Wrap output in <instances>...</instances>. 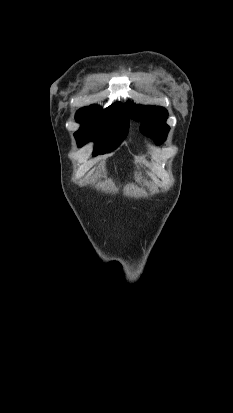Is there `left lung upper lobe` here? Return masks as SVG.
Masks as SVG:
<instances>
[{
    "label": "left lung upper lobe",
    "instance_id": "left-lung-upper-lobe-1",
    "mask_svg": "<svg viewBox=\"0 0 233 413\" xmlns=\"http://www.w3.org/2000/svg\"><path fill=\"white\" fill-rule=\"evenodd\" d=\"M128 114L137 121H142L141 131L152 136L157 144H162L169 131L166 124L168 112L160 106H144L126 103Z\"/></svg>",
    "mask_w": 233,
    "mask_h": 413
}]
</instances>
